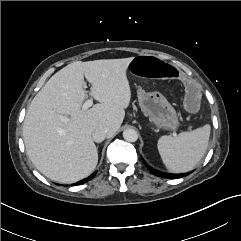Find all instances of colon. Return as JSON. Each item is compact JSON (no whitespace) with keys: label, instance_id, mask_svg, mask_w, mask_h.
<instances>
[{"label":"colon","instance_id":"obj_1","mask_svg":"<svg viewBox=\"0 0 241 241\" xmlns=\"http://www.w3.org/2000/svg\"><path fill=\"white\" fill-rule=\"evenodd\" d=\"M128 68L135 75H144V77L148 79L155 76L162 80H173L177 78L185 83L189 90L185 98L187 110L190 112H196L198 110L200 88L192 82V79L188 75L181 72L176 64L166 63L161 58L153 55H139L132 57L128 61Z\"/></svg>","mask_w":241,"mask_h":241}]
</instances>
